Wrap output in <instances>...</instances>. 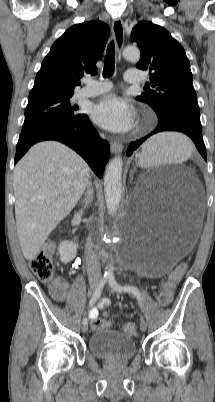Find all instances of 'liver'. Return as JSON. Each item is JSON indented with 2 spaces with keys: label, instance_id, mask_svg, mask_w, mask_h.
Masks as SVG:
<instances>
[{
  "label": "liver",
  "instance_id": "1",
  "mask_svg": "<svg viewBox=\"0 0 215 402\" xmlns=\"http://www.w3.org/2000/svg\"><path fill=\"white\" fill-rule=\"evenodd\" d=\"M90 167L56 141L33 145L14 170L15 217L24 257L32 261L53 229L75 207Z\"/></svg>",
  "mask_w": 215,
  "mask_h": 402
}]
</instances>
